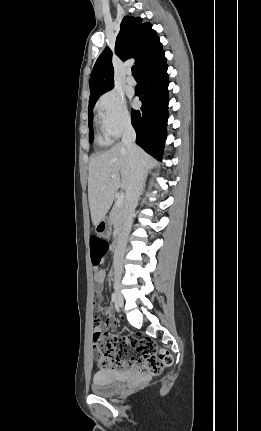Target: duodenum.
I'll return each instance as SVG.
<instances>
[{
	"mask_svg": "<svg viewBox=\"0 0 261 431\" xmlns=\"http://www.w3.org/2000/svg\"><path fill=\"white\" fill-rule=\"evenodd\" d=\"M119 244H120V240H119V239H117V240L114 242V244H113V250H114L115 252L118 250Z\"/></svg>",
	"mask_w": 261,
	"mask_h": 431,
	"instance_id": "duodenum-1",
	"label": "duodenum"
}]
</instances>
